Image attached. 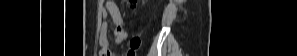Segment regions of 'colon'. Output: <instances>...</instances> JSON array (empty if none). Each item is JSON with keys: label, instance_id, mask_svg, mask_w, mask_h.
<instances>
[{"label": "colon", "instance_id": "obj_1", "mask_svg": "<svg viewBox=\"0 0 297 56\" xmlns=\"http://www.w3.org/2000/svg\"><path fill=\"white\" fill-rule=\"evenodd\" d=\"M129 5L134 8L136 5V1L129 0ZM141 44L140 38L138 36H133L129 42L128 50L125 53V56H136L137 50L139 49Z\"/></svg>", "mask_w": 297, "mask_h": 56}]
</instances>
